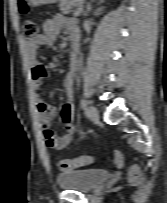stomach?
Here are the masks:
<instances>
[{"label": "stomach", "instance_id": "stomach-1", "mask_svg": "<svg viewBox=\"0 0 167 203\" xmlns=\"http://www.w3.org/2000/svg\"><path fill=\"white\" fill-rule=\"evenodd\" d=\"M59 0H25L28 5L38 6L43 4H53L58 2Z\"/></svg>", "mask_w": 167, "mask_h": 203}]
</instances>
